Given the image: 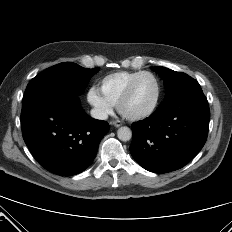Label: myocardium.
Wrapping results in <instances>:
<instances>
[{
	"instance_id": "myocardium-1",
	"label": "myocardium",
	"mask_w": 232,
	"mask_h": 232,
	"mask_svg": "<svg viewBox=\"0 0 232 232\" xmlns=\"http://www.w3.org/2000/svg\"><path fill=\"white\" fill-rule=\"evenodd\" d=\"M150 76L154 79V81L156 82V86H157V93H156V97L155 100L153 102V104L151 105V107L141 113L138 114H126L123 111V106L124 104L129 100V98L132 95L133 89L135 87V84L137 83V81L142 77V76ZM161 96H162V86H161V82L159 80V78L152 72L149 71H141L140 73H138L128 84L127 88L125 89L124 93L122 94V96L120 97L118 103H117V108L119 113L124 116L125 118L129 119V120H141L144 118L149 117L150 115H152L155 110L157 109L160 100H161Z\"/></svg>"
}]
</instances>
